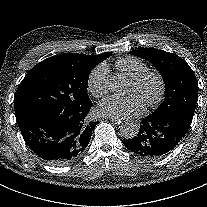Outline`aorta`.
<instances>
[{
  "label": "aorta",
  "instance_id": "obj_1",
  "mask_svg": "<svg viewBox=\"0 0 207 207\" xmlns=\"http://www.w3.org/2000/svg\"><path fill=\"white\" fill-rule=\"evenodd\" d=\"M107 86L111 92L122 94L127 90L128 80L123 74L116 73L107 79ZM139 130V125L133 121H127L120 127L121 135L125 139H133L137 136Z\"/></svg>",
  "mask_w": 207,
  "mask_h": 207
}]
</instances>
